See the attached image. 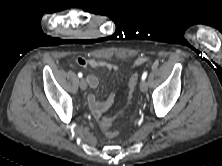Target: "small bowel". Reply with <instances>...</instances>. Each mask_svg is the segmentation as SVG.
<instances>
[{"instance_id":"c3829d8e","label":"small bowel","mask_w":222,"mask_h":166,"mask_svg":"<svg viewBox=\"0 0 222 166\" xmlns=\"http://www.w3.org/2000/svg\"><path fill=\"white\" fill-rule=\"evenodd\" d=\"M148 62V58L145 56H140L134 61V66H139ZM76 63L81 67H106L109 71H116L118 66L112 63H108L101 60L87 59L79 57L76 59ZM87 82L92 90L96 89L99 80L94 74H88L86 76ZM115 94H110L106 100L99 101L96 99L93 93L88 94L87 101L92 114L99 118L104 112H106L114 103Z\"/></svg>"}]
</instances>
